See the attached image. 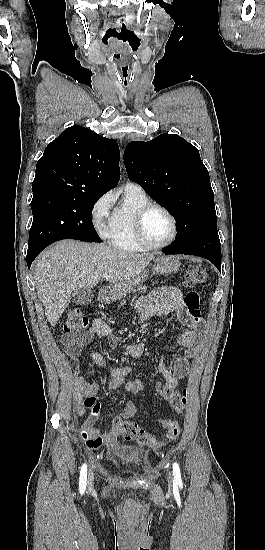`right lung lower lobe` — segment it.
Instances as JSON below:
<instances>
[{"label":"right lung lower lobe","instance_id":"1","mask_svg":"<svg viewBox=\"0 0 265 550\" xmlns=\"http://www.w3.org/2000/svg\"><path fill=\"white\" fill-rule=\"evenodd\" d=\"M41 251H42V250H39V251H36V252L27 254V265H28V268H30V266H31V264H32V261L36 258V256H37Z\"/></svg>","mask_w":265,"mask_h":550}]
</instances>
